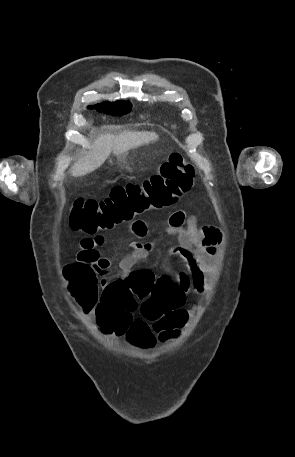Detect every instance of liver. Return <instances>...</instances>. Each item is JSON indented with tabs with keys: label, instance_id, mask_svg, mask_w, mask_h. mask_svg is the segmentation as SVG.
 <instances>
[{
	"label": "liver",
	"instance_id": "obj_1",
	"mask_svg": "<svg viewBox=\"0 0 295 457\" xmlns=\"http://www.w3.org/2000/svg\"><path fill=\"white\" fill-rule=\"evenodd\" d=\"M158 140L154 132H123L117 136L112 134L100 135L89 152L76 161L70 171L72 176L81 177L98 169L109 157L110 153L120 156L131 149L153 143Z\"/></svg>",
	"mask_w": 295,
	"mask_h": 457
}]
</instances>
